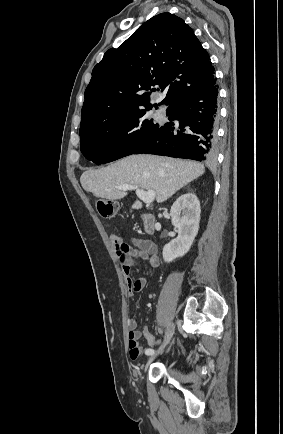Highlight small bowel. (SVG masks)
<instances>
[{
  "label": "small bowel",
  "instance_id": "small-bowel-1",
  "mask_svg": "<svg viewBox=\"0 0 283 434\" xmlns=\"http://www.w3.org/2000/svg\"><path fill=\"white\" fill-rule=\"evenodd\" d=\"M111 242L115 246V251L121 261L123 271L126 275V282L130 294L141 291L147 283L145 277H140L136 280L131 278V272L136 267L135 258H142L150 267L159 265L156 246L147 240L139 238H131L129 242H125L122 237L112 235ZM128 344L130 357L135 360L140 357L143 348L139 344V340L143 337L146 339L150 347L160 344V340L156 339L148 329L144 326L142 330L138 329V324L135 319H130L128 322Z\"/></svg>",
  "mask_w": 283,
  "mask_h": 434
}]
</instances>
